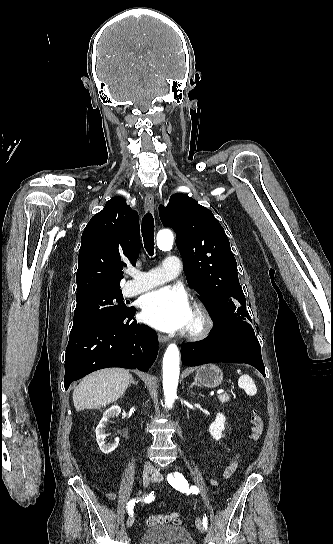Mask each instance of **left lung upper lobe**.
I'll use <instances>...</instances> for the list:
<instances>
[{
	"instance_id": "5c2ea615",
	"label": "left lung upper lobe",
	"mask_w": 333,
	"mask_h": 544,
	"mask_svg": "<svg viewBox=\"0 0 333 544\" xmlns=\"http://www.w3.org/2000/svg\"><path fill=\"white\" fill-rule=\"evenodd\" d=\"M164 226L176 232V244L185 261L187 282L211 308L216 324L250 320L239 284L237 263L229 240L213 213L184 194L171 196L160 206Z\"/></svg>"
}]
</instances>
